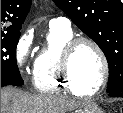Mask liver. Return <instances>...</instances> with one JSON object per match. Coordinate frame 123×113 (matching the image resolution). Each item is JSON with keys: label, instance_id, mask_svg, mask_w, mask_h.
Segmentation results:
<instances>
[{"label": "liver", "instance_id": "obj_1", "mask_svg": "<svg viewBox=\"0 0 123 113\" xmlns=\"http://www.w3.org/2000/svg\"><path fill=\"white\" fill-rule=\"evenodd\" d=\"M82 104L62 95L31 94L14 87L1 89V113H66Z\"/></svg>", "mask_w": 123, "mask_h": 113}]
</instances>
